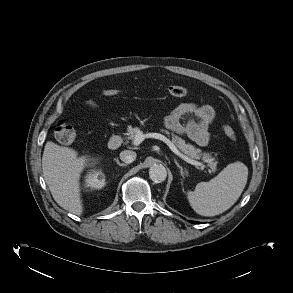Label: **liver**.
<instances>
[{
	"instance_id": "6515ba94",
	"label": "liver",
	"mask_w": 293,
	"mask_h": 293,
	"mask_svg": "<svg viewBox=\"0 0 293 293\" xmlns=\"http://www.w3.org/2000/svg\"><path fill=\"white\" fill-rule=\"evenodd\" d=\"M89 160L87 156L78 157L72 148L52 141L45 144L42 157L44 179L58 205L76 215L83 212L80 177Z\"/></svg>"
}]
</instances>
